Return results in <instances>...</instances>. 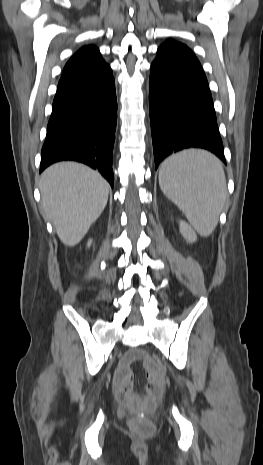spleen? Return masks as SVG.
<instances>
[{
    "label": "spleen",
    "instance_id": "obj_1",
    "mask_svg": "<svg viewBox=\"0 0 263 465\" xmlns=\"http://www.w3.org/2000/svg\"><path fill=\"white\" fill-rule=\"evenodd\" d=\"M159 185L200 235L212 233L227 195L219 159L203 150L172 155L161 164Z\"/></svg>",
    "mask_w": 263,
    "mask_h": 465
}]
</instances>
